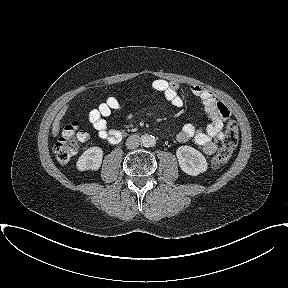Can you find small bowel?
<instances>
[{
    "label": "small bowel",
    "instance_id": "small-bowel-1",
    "mask_svg": "<svg viewBox=\"0 0 288 288\" xmlns=\"http://www.w3.org/2000/svg\"><path fill=\"white\" fill-rule=\"evenodd\" d=\"M152 88L163 94L165 99L174 107H182L184 99L180 94V85L174 81L164 79H156L152 83ZM191 93L198 97L203 106L210 123L204 128H198L193 124H186L177 134V141L187 143L193 140L206 155L213 154L217 149V141L223 136L224 122L229 117L228 108L207 89L199 85L190 86ZM122 104L116 97H109L105 102L100 104L98 108L92 110L89 114V121L98 136L110 144L118 143L123 132L114 128H110L106 118L114 111H121Z\"/></svg>",
    "mask_w": 288,
    "mask_h": 288
}]
</instances>
